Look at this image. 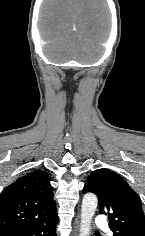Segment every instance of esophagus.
<instances>
[{"mask_svg": "<svg viewBox=\"0 0 145 236\" xmlns=\"http://www.w3.org/2000/svg\"><path fill=\"white\" fill-rule=\"evenodd\" d=\"M78 227H79V219L77 218L75 221L74 236H77V234H78Z\"/></svg>", "mask_w": 145, "mask_h": 236, "instance_id": "1", "label": "esophagus"}]
</instances>
